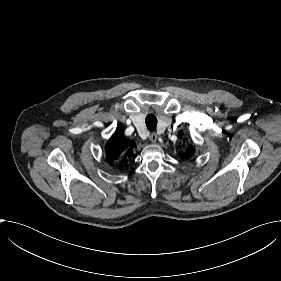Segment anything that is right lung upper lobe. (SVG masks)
Here are the masks:
<instances>
[{
    "mask_svg": "<svg viewBox=\"0 0 281 281\" xmlns=\"http://www.w3.org/2000/svg\"><path fill=\"white\" fill-rule=\"evenodd\" d=\"M135 146L134 141H128V139L120 132H115L109 139L105 151L106 157L112 163L113 160L119 158L120 154L125 151L127 153L130 148Z\"/></svg>",
    "mask_w": 281,
    "mask_h": 281,
    "instance_id": "right-lung-upper-lobe-1",
    "label": "right lung upper lobe"
}]
</instances>
